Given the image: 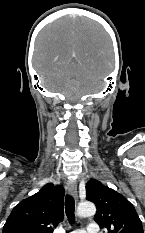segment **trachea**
<instances>
[{
  "instance_id": "3493384b",
  "label": "trachea",
  "mask_w": 145,
  "mask_h": 233,
  "mask_svg": "<svg viewBox=\"0 0 145 233\" xmlns=\"http://www.w3.org/2000/svg\"><path fill=\"white\" fill-rule=\"evenodd\" d=\"M65 212L70 224L75 222V201L71 195H66Z\"/></svg>"
}]
</instances>
